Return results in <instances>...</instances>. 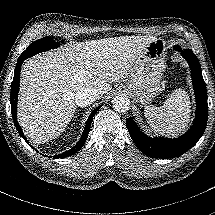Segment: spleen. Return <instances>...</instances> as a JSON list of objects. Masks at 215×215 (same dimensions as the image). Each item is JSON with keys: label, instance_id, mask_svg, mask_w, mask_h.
<instances>
[{"label": "spleen", "instance_id": "1", "mask_svg": "<svg viewBox=\"0 0 215 215\" xmlns=\"http://www.w3.org/2000/svg\"><path fill=\"white\" fill-rule=\"evenodd\" d=\"M190 114V98L183 89H176L163 106L149 105L144 109V116L151 129L168 137H177L186 131Z\"/></svg>", "mask_w": 215, "mask_h": 215}]
</instances>
